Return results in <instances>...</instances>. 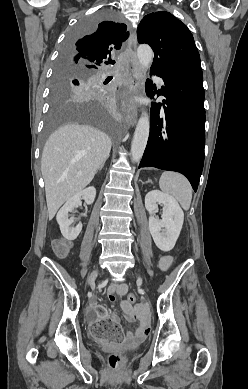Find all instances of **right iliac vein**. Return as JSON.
I'll use <instances>...</instances> for the list:
<instances>
[{
	"mask_svg": "<svg viewBox=\"0 0 248 389\" xmlns=\"http://www.w3.org/2000/svg\"><path fill=\"white\" fill-rule=\"evenodd\" d=\"M97 275H98V270H94V271L91 273V275L89 276L88 283H89V284H93L94 281H95V279H96V277H97Z\"/></svg>",
	"mask_w": 248,
	"mask_h": 389,
	"instance_id": "63e3f726",
	"label": "right iliac vein"
}]
</instances>
